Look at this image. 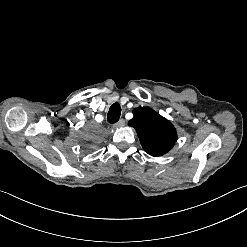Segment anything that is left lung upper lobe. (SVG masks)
Wrapping results in <instances>:
<instances>
[{
	"instance_id": "obj_1",
	"label": "left lung upper lobe",
	"mask_w": 247,
	"mask_h": 247,
	"mask_svg": "<svg viewBox=\"0 0 247 247\" xmlns=\"http://www.w3.org/2000/svg\"><path fill=\"white\" fill-rule=\"evenodd\" d=\"M133 114L128 124L136 129L148 154L161 156L172 149L177 133L170 121L148 107L135 108Z\"/></svg>"
}]
</instances>
